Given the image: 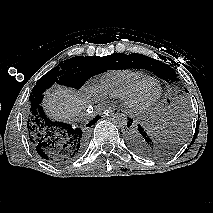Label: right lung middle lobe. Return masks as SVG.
<instances>
[{
	"label": "right lung middle lobe",
	"mask_w": 213,
	"mask_h": 213,
	"mask_svg": "<svg viewBox=\"0 0 213 213\" xmlns=\"http://www.w3.org/2000/svg\"><path fill=\"white\" fill-rule=\"evenodd\" d=\"M123 56H125V54L122 53H114L105 57L77 56L59 63L58 66L37 81L29 99L31 101L38 95L43 94L53 83H59L77 89L82 87L89 78L103 73L106 70L122 69L120 66L114 68V65L120 64L121 62L118 61H120V58Z\"/></svg>",
	"instance_id": "right-lung-middle-lobe-1"
}]
</instances>
